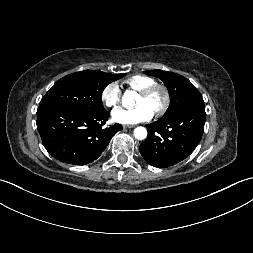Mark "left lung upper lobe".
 <instances>
[{
    "instance_id": "1",
    "label": "left lung upper lobe",
    "mask_w": 253,
    "mask_h": 253,
    "mask_svg": "<svg viewBox=\"0 0 253 253\" xmlns=\"http://www.w3.org/2000/svg\"><path fill=\"white\" fill-rule=\"evenodd\" d=\"M144 73L160 78L166 85L170 95V105L162 118H167L182 108L200 92L183 76L162 70L144 71Z\"/></svg>"
}]
</instances>
